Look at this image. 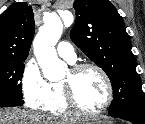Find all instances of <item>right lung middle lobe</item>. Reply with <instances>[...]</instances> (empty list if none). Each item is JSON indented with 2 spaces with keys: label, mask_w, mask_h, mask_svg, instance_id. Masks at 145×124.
<instances>
[{
  "label": "right lung middle lobe",
  "mask_w": 145,
  "mask_h": 124,
  "mask_svg": "<svg viewBox=\"0 0 145 124\" xmlns=\"http://www.w3.org/2000/svg\"><path fill=\"white\" fill-rule=\"evenodd\" d=\"M25 59H0V100L22 99L21 79Z\"/></svg>",
  "instance_id": "right-lung-middle-lobe-1"
}]
</instances>
